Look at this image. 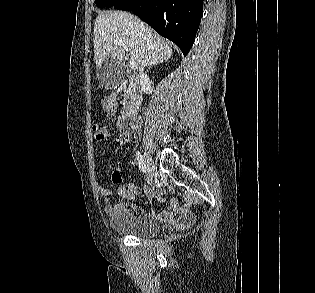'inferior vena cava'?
<instances>
[{
    "label": "inferior vena cava",
    "instance_id": "inferior-vena-cava-1",
    "mask_svg": "<svg viewBox=\"0 0 315 293\" xmlns=\"http://www.w3.org/2000/svg\"><path fill=\"white\" fill-rule=\"evenodd\" d=\"M139 76H140L141 78H146V75L144 74V67H141V68H140Z\"/></svg>",
    "mask_w": 315,
    "mask_h": 293
}]
</instances>
